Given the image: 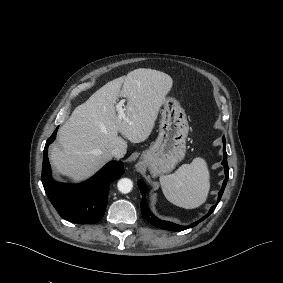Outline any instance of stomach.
<instances>
[{
    "instance_id": "stomach-1",
    "label": "stomach",
    "mask_w": 283,
    "mask_h": 283,
    "mask_svg": "<svg viewBox=\"0 0 283 283\" xmlns=\"http://www.w3.org/2000/svg\"><path fill=\"white\" fill-rule=\"evenodd\" d=\"M159 135L154 144L141 155L140 165L153 176L173 170L184 159L189 125L184 109L173 97H165Z\"/></svg>"
}]
</instances>
